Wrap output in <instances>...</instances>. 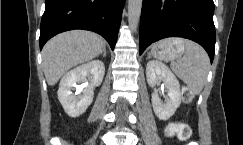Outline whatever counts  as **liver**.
Returning a JSON list of instances; mask_svg holds the SVG:
<instances>
[{"label": "liver", "mask_w": 243, "mask_h": 145, "mask_svg": "<svg viewBox=\"0 0 243 145\" xmlns=\"http://www.w3.org/2000/svg\"><path fill=\"white\" fill-rule=\"evenodd\" d=\"M104 47L102 38L89 31L73 30L53 37L42 50L48 85H55L72 67L99 56Z\"/></svg>", "instance_id": "liver-1"}]
</instances>
